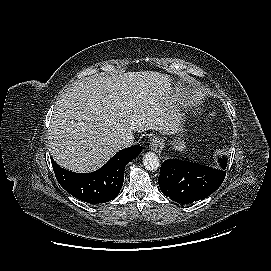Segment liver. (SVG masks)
Instances as JSON below:
<instances>
[{
  "mask_svg": "<svg viewBox=\"0 0 271 271\" xmlns=\"http://www.w3.org/2000/svg\"><path fill=\"white\" fill-rule=\"evenodd\" d=\"M172 78L156 71L92 76L76 82L55 103L49 128V151L62 167L92 172L121 148L122 133L177 128L169 106Z\"/></svg>",
  "mask_w": 271,
  "mask_h": 271,
  "instance_id": "liver-1",
  "label": "liver"
}]
</instances>
